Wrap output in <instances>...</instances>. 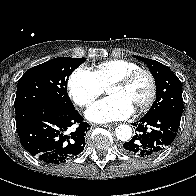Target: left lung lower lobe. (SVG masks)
I'll return each mask as SVG.
<instances>
[{
    "label": "left lung lower lobe",
    "mask_w": 196,
    "mask_h": 196,
    "mask_svg": "<svg viewBox=\"0 0 196 196\" xmlns=\"http://www.w3.org/2000/svg\"><path fill=\"white\" fill-rule=\"evenodd\" d=\"M181 118L159 112L146 114L139 121L132 123L136 135L124 143L123 151L131 156L147 158L158 155L175 139Z\"/></svg>",
    "instance_id": "0a47b994"
}]
</instances>
